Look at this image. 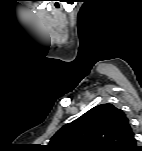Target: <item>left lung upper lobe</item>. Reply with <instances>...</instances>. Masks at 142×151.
Returning a JSON list of instances; mask_svg holds the SVG:
<instances>
[{"instance_id":"5c2ea615","label":"left lung upper lobe","mask_w":142,"mask_h":151,"mask_svg":"<svg viewBox=\"0 0 142 151\" xmlns=\"http://www.w3.org/2000/svg\"><path fill=\"white\" fill-rule=\"evenodd\" d=\"M134 137L125 113L110 103L93 107L51 138L54 151H124Z\"/></svg>"}]
</instances>
